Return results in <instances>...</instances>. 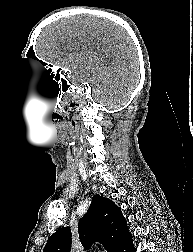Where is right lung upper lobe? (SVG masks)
Here are the masks:
<instances>
[{
	"label": "right lung upper lobe",
	"instance_id": "right-lung-upper-lobe-1",
	"mask_svg": "<svg viewBox=\"0 0 193 252\" xmlns=\"http://www.w3.org/2000/svg\"><path fill=\"white\" fill-rule=\"evenodd\" d=\"M78 231L85 249L99 242L107 252H115L130 236L120 208L113 201L99 195L93 196L88 212L79 221ZM70 247V229L63 227L49 237L43 252H70Z\"/></svg>",
	"mask_w": 193,
	"mask_h": 252
}]
</instances>
